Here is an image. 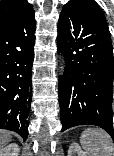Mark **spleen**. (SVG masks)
I'll list each match as a JSON object with an SVG mask.
<instances>
[{"instance_id": "3e777b00", "label": "spleen", "mask_w": 114, "mask_h": 156, "mask_svg": "<svg viewBox=\"0 0 114 156\" xmlns=\"http://www.w3.org/2000/svg\"><path fill=\"white\" fill-rule=\"evenodd\" d=\"M80 143L87 156H112L114 151L111 137L99 128L85 129Z\"/></svg>"}]
</instances>
